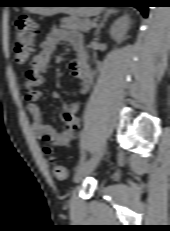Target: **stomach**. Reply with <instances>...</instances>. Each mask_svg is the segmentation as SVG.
I'll use <instances>...</instances> for the list:
<instances>
[{"label":"stomach","mask_w":170,"mask_h":231,"mask_svg":"<svg viewBox=\"0 0 170 231\" xmlns=\"http://www.w3.org/2000/svg\"><path fill=\"white\" fill-rule=\"evenodd\" d=\"M34 3L38 4H71L70 1L67 0H42L36 1ZM29 12L38 13L43 16H52L57 13H65L77 17H89L98 12V10L94 7H26Z\"/></svg>","instance_id":"1"}]
</instances>
